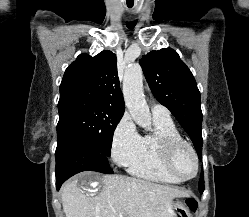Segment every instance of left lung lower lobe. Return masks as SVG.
Listing matches in <instances>:
<instances>
[{
  "label": "left lung lower lobe",
  "mask_w": 249,
  "mask_h": 217,
  "mask_svg": "<svg viewBox=\"0 0 249 217\" xmlns=\"http://www.w3.org/2000/svg\"><path fill=\"white\" fill-rule=\"evenodd\" d=\"M200 181L204 183L203 172H202L201 175H200ZM200 193H203V192H200Z\"/></svg>",
  "instance_id": "obj_1"
}]
</instances>
